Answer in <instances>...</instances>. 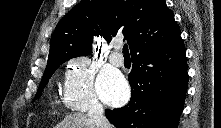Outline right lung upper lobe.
<instances>
[{
    "instance_id": "cb5924a9",
    "label": "right lung upper lobe",
    "mask_w": 221,
    "mask_h": 128,
    "mask_svg": "<svg viewBox=\"0 0 221 128\" xmlns=\"http://www.w3.org/2000/svg\"><path fill=\"white\" fill-rule=\"evenodd\" d=\"M120 34L133 56L173 44L181 32L164 0H83L58 23L47 65L90 54L95 35L110 42Z\"/></svg>"
}]
</instances>
